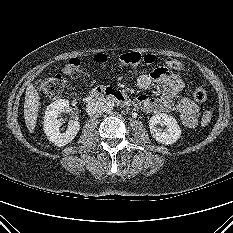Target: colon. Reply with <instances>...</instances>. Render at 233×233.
Returning <instances> with one entry per match:
<instances>
[{"mask_svg":"<svg viewBox=\"0 0 233 233\" xmlns=\"http://www.w3.org/2000/svg\"><path fill=\"white\" fill-rule=\"evenodd\" d=\"M97 63H105L107 61V56L105 54H98L94 57ZM118 61L125 65H151L156 61L155 55L152 54H141L139 52H127L123 53L118 57ZM165 64L175 70H184L185 66L182 62L168 58L165 60ZM62 72L64 75L70 78H77L81 74V62L78 58L70 59L63 67ZM36 87L45 96L55 99L62 96L70 87L69 81L62 75H55L51 77H46L40 79L36 83ZM193 98L197 102H202L206 99V91L198 87L193 93ZM212 120L211 111H205L201 118L202 125H208Z\"/></svg>","mask_w":233,"mask_h":233,"instance_id":"colon-1","label":"colon"}]
</instances>
